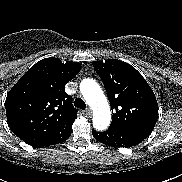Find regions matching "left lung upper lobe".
Instances as JSON below:
<instances>
[{
    "mask_svg": "<svg viewBox=\"0 0 182 182\" xmlns=\"http://www.w3.org/2000/svg\"><path fill=\"white\" fill-rule=\"evenodd\" d=\"M93 67L104 83L113 111L110 127L149 136L157 122L158 103L143 76L116 59L94 61Z\"/></svg>",
    "mask_w": 182,
    "mask_h": 182,
    "instance_id": "5c2ea615",
    "label": "left lung upper lobe"
}]
</instances>
